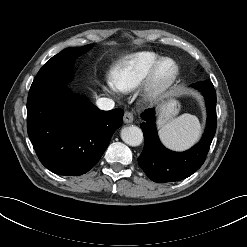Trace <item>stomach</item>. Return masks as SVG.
I'll return each instance as SVG.
<instances>
[{"label": "stomach", "instance_id": "1", "mask_svg": "<svg viewBox=\"0 0 247 247\" xmlns=\"http://www.w3.org/2000/svg\"><path fill=\"white\" fill-rule=\"evenodd\" d=\"M179 109V102L173 98H169L163 102L159 108V125L162 126L164 123H166L167 120L177 115Z\"/></svg>", "mask_w": 247, "mask_h": 247}]
</instances>
